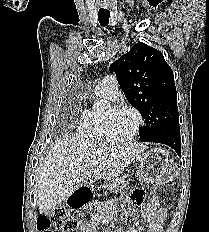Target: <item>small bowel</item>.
<instances>
[{
    "instance_id": "obj_1",
    "label": "small bowel",
    "mask_w": 209,
    "mask_h": 232,
    "mask_svg": "<svg viewBox=\"0 0 209 232\" xmlns=\"http://www.w3.org/2000/svg\"><path fill=\"white\" fill-rule=\"evenodd\" d=\"M128 198L130 206L127 208V214L132 213L133 208L138 205H144L147 199L146 185H133V190H129ZM115 216V211L109 207L106 211V217ZM141 217L147 222L145 229L134 230L131 232H162L163 222L167 217V211L159 204L157 196H152L148 203L142 208ZM81 232H94L93 227L88 222H81ZM116 232H121L117 230ZM129 232V231H128Z\"/></svg>"
}]
</instances>
